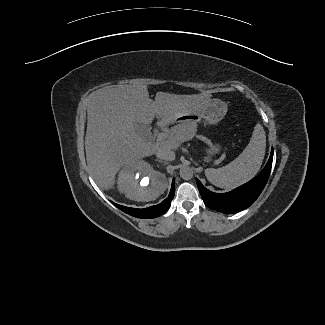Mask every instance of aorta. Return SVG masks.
Returning <instances> with one entry per match:
<instances>
[{"label": "aorta", "instance_id": "obj_1", "mask_svg": "<svg viewBox=\"0 0 325 325\" xmlns=\"http://www.w3.org/2000/svg\"><path fill=\"white\" fill-rule=\"evenodd\" d=\"M180 177L184 180H190L193 177V169L188 166H183L180 169Z\"/></svg>", "mask_w": 325, "mask_h": 325}]
</instances>
